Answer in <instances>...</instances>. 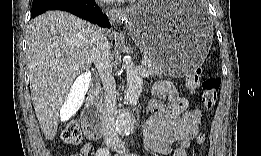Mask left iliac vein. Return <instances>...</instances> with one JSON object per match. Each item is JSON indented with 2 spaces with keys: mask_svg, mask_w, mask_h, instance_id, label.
Here are the masks:
<instances>
[{
  "mask_svg": "<svg viewBox=\"0 0 261 156\" xmlns=\"http://www.w3.org/2000/svg\"><path fill=\"white\" fill-rule=\"evenodd\" d=\"M115 151L118 152L120 155H124L126 152L125 146L122 142H119L115 145Z\"/></svg>",
  "mask_w": 261,
  "mask_h": 156,
  "instance_id": "obj_1",
  "label": "left iliac vein"
}]
</instances>
